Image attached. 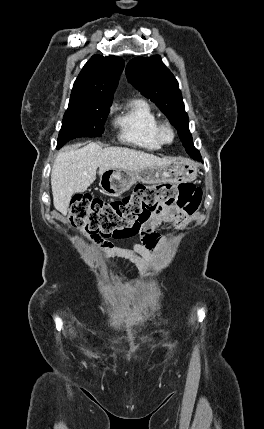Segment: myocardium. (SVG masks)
Here are the masks:
<instances>
[{"label": "myocardium", "instance_id": "f54148a6", "mask_svg": "<svg viewBox=\"0 0 264 429\" xmlns=\"http://www.w3.org/2000/svg\"><path fill=\"white\" fill-rule=\"evenodd\" d=\"M157 137L163 144L172 143L175 138V130L169 122H159L156 129Z\"/></svg>", "mask_w": 264, "mask_h": 429}]
</instances>
